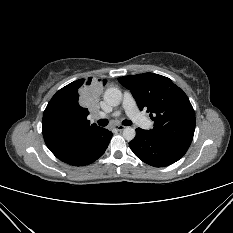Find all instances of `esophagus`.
Wrapping results in <instances>:
<instances>
[{
    "label": "esophagus",
    "mask_w": 233,
    "mask_h": 233,
    "mask_svg": "<svg viewBox=\"0 0 233 233\" xmlns=\"http://www.w3.org/2000/svg\"><path fill=\"white\" fill-rule=\"evenodd\" d=\"M114 129H116L117 131H122V130L125 129V126H123V125H115Z\"/></svg>",
    "instance_id": "obj_1"
}]
</instances>
